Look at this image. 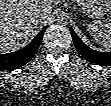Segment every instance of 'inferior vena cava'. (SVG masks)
I'll use <instances>...</instances> for the list:
<instances>
[{"instance_id": "1", "label": "inferior vena cava", "mask_w": 111, "mask_h": 106, "mask_svg": "<svg viewBox=\"0 0 111 106\" xmlns=\"http://www.w3.org/2000/svg\"><path fill=\"white\" fill-rule=\"evenodd\" d=\"M39 19L43 18V13L41 11H39V14L37 16Z\"/></svg>"}]
</instances>
